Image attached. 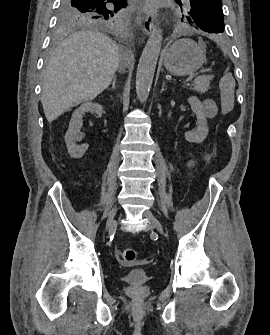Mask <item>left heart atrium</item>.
<instances>
[{"mask_svg": "<svg viewBox=\"0 0 270 335\" xmlns=\"http://www.w3.org/2000/svg\"><path fill=\"white\" fill-rule=\"evenodd\" d=\"M158 4L155 0H147L141 3L140 11L142 14L146 15L147 17H152L157 12Z\"/></svg>", "mask_w": 270, "mask_h": 335, "instance_id": "obj_1", "label": "left heart atrium"}]
</instances>
